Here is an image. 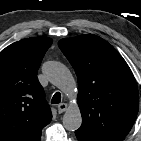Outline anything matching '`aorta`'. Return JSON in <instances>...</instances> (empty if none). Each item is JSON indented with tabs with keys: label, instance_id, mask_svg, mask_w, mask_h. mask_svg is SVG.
I'll return each mask as SVG.
<instances>
[{
	"label": "aorta",
	"instance_id": "762f6f07",
	"mask_svg": "<svg viewBox=\"0 0 141 141\" xmlns=\"http://www.w3.org/2000/svg\"><path fill=\"white\" fill-rule=\"evenodd\" d=\"M42 70L48 80L68 96L76 94L75 80L70 70L61 62L47 61ZM82 124V116L78 106H69L63 116V125L68 131H76Z\"/></svg>",
	"mask_w": 141,
	"mask_h": 141
}]
</instances>
